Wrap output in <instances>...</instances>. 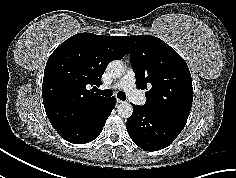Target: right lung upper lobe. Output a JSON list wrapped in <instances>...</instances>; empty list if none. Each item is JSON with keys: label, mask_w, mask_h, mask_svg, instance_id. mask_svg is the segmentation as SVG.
Listing matches in <instances>:
<instances>
[{"label": "right lung upper lobe", "mask_w": 236, "mask_h": 178, "mask_svg": "<svg viewBox=\"0 0 236 178\" xmlns=\"http://www.w3.org/2000/svg\"><path fill=\"white\" fill-rule=\"evenodd\" d=\"M126 54L124 37L93 33L73 35L55 49L44 70L42 97L58 133L83 125L100 111L109 98L94 89L102 84L107 64Z\"/></svg>", "instance_id": "right-lung-upper-lobe-1"}]
</instances>
